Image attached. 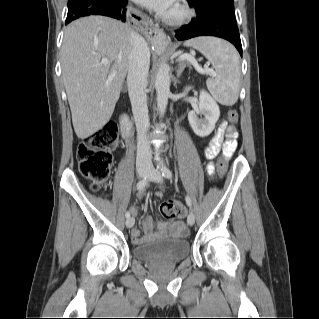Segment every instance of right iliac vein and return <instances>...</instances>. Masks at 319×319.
Returning a JSON list of instances; mask_svg holds the SVG:
<instances>
[{
	"instance_id": "obj_1",
	"label": "right iliac vein",
	"mask_w": 319,
	"mask_h": 319,
	"mask_svg": "<svg viewBox=\"0 0 319 319\" xmlns=\"http://www.w3.org/2000/svg\"><path fill=\"white\" fill-rule=\"evenodd\" d=\"M139 176L141 178H145L148 176V170L147 169H140L138 172ZM134 225V218L133 217H128L126 220V226L128 228H131Z\"/></svg>"
}]
</instances>
